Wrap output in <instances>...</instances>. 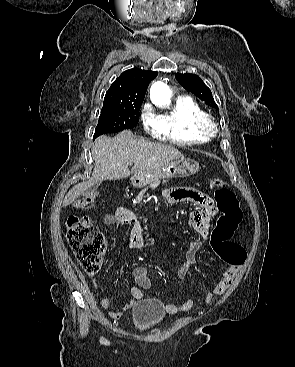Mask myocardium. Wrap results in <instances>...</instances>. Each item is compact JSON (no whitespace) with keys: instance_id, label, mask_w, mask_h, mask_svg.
<instances>
[{"instance_id":"f54148a6","label":"myocardium","mask_w":295,"mask_h":367,"mask_svg":"<svg viewBox=\"0 0 295 367\" xmlns=\"http://www.w3.org/2000/svg\"><path fill=\"white\" fill-rule=\"evenodd\" d=\"M200 129L209 137L215 136L219 131L218 123L209 115H206L200 122Z\"/></svg>"}]
</instances>
